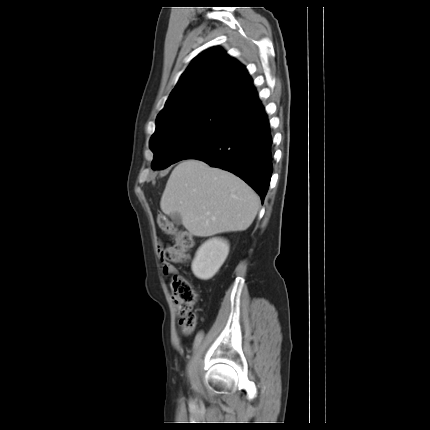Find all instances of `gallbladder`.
<instances>
[{
    "label": "gallbladder",
    "instance_id": "obj_1",
    "mask_svg": "<svg viewBox=\"0 0 430 430\" xmlns=\"http://www.w3.org/2000/svg\"><path fill=\"white\" fill-rule=\"evenodd\" d=\"M171 218H172L173 222H174L176 225H180V224H181L182 219H181V216H180L179 214H173V215L171 216Z\"/></svg>",
    "mask_w": 430,
    "mask_h": 430
}]
</instances>
